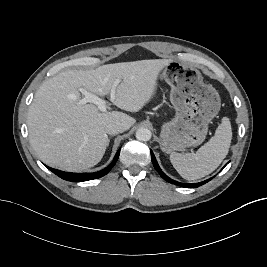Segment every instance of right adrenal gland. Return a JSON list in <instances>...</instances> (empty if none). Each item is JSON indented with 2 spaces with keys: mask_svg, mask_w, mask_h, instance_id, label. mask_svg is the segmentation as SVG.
I'll use <instances>...</instances> for the list:
<instances>
[{
  "mask_svg": "<svg viewBox=\"0 0 267 267\" xmlns=\"http://www.w3.org/2000/svg\"><path fill=\"white\" fill-rule=\"evenodd\" d=\"M109 142H110V138L108 139V145H109Z\"/></svg>",
  "mask_w": 267,
  "mask_h": 267,
  "instance_id": "right-adrenal-gland-1",
  "label": "right adrenal gland"
}]
</instances>
